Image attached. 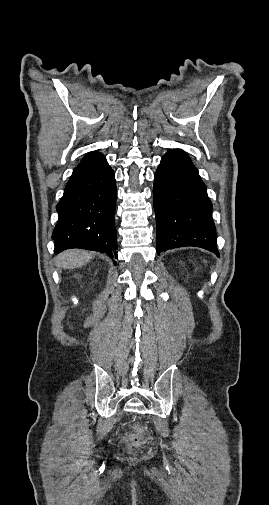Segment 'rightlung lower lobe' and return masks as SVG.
I'll list each match as a JSON object with an SVG mask.
<instances>
[{
	"mask_svg": "<svg viewBox=\"0 0 269 505\" xmlns=\"http://www.w3.org/2000/svg\"><path fill=\"white\" fill-rule=\"evenodd\" d=\"M115 208L114 172L101 153L91 152L74 169L56 206L55 254L81 248L117 259Z\"/></svg>",
	"mask_w": 269,
	"mask_h": 505,
	"instance_id": "obj_1",
	"label": "right lung lower lobe"
}]
</instances>
